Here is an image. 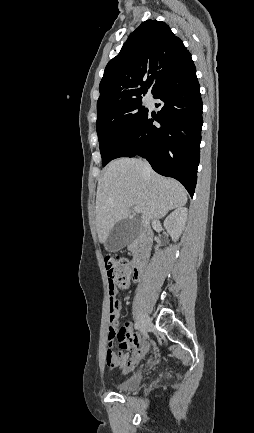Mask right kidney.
<instances>
[{"mask_svg": "<svg viewBox=\"0 0 254 433\" xmlns=\"http://www.w3.org/2000/svg\"><path fill=\"white\" fill-rule=\"evenodd\" d=\"M187 215L188 213L186 208H177L165 219L164 227L171 235L173 241L179 239L185 227ZM155 250L158 251V246H156Z\"/></svg>", "mask_w": 254, "mask_h": 433, "instance_id": "1", "label": "right kidney"}]
</instances>
